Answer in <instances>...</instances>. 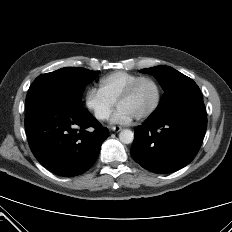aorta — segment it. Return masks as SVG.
Here are the masks:
<instances>
[{"label":"aorta","instance_id":"762f6f07","mask_svg":"<svg viewBox=\"0 0 232 232\" xmlns=\"http://www.w3.org/2000/svg\"><path fill=\"white\" fill-rule=\"evenodd\" d=\"M119 139L123 144H130L133 142L134 133L129 129H124L119 133Z\"/></svg>","mask_w":232,"mask_h":232}]
</instances>
